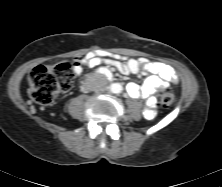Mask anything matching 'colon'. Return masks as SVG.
I'll return each instance as SVG.
<instances>
[{
    "mask_svg": "<svg viewBox=\"0 0 222 187\" xmlns=\"http://www.w3.org/2000/svg\"><path fill=\"white\" fill-rule=\"evenodd\" d=\"M74 65L70 62L58 65H38L29 74V95L41 106L54 103L58 94L68 91L74 82ZM174 94L164 91L159 96L161 107L168 108L174 103Z\"/></svg>",
    "mask_w": 222,
    "mask_h": 187,
    "instance_id": "colon-1",
    "label": "colon"
}]
</instances>
